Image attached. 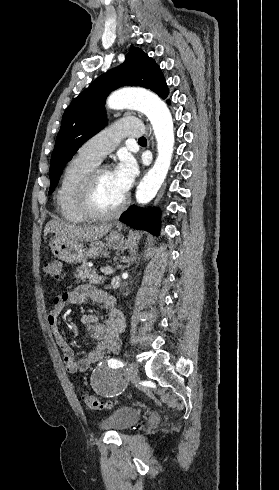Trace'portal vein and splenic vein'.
<instances>
[{
    "mask_svg": "<svg viewBox=\"0 0 279 490\" xmlns=\"http://www.w3.org/2000/svg\"><path fill=\"white\" fill-rule=\"evenodd\" d=\"M100 272H104V274H113L114 270H111V268H101Z\"/></svg>",
    "mask_w": 279,
    "mask_h": 490,
    "instance_id": "portal-vein-and-splenic-vein-1",
    "label": "portal vein and splenic vein"
}]
</instances>
